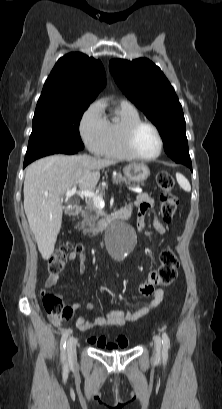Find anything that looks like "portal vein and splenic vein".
<instances>
[{
  "label": "portal vein and splenic vein",
  "instance_id": "1",
  "mask_svg": "<svg viewBox=\"0 0 222 409\" xmlns=\"http://www.w3.org/2000/svg\"><path fill=\"white\" fill-rule=\"evenodd\" d=\"M77 192V188L76 185L73 186L70 190H68L66 192V198H70L72 197L75 193ZM141 192V191H139ZM79 196H84L85 198H92L93 202L96 206H104V200L102 197L98 196L97 194H95L93 191L90 190H82L80 192L77 193Z\"/></svg>",
  "mask_w": 222,
  "mask_h": 409
}]
</instances>
